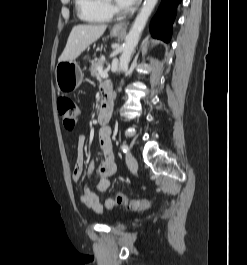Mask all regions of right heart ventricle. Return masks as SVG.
I'll return each mask as SVG.
<instances>
[{"mask_svg":"<svg viewBox=\"0 0 247 265\" xmlns=\"http://www.w3.org/2000/svg\"><path fill=\"white\" fill-rule=\"evenodd\" d=\"M75 3L78 15L84 21L106 23L112 18L107 0H75Z\"/></svg>","mask_w":247,"mask_h":265,"instance_id":"e07e8e85","label":"right heart ventricle"}]
</instances>
